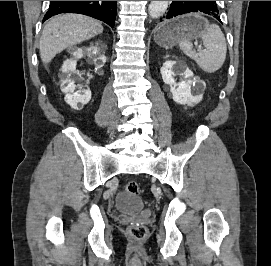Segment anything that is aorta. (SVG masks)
Masks as SVG:
<instances>
[{"label":"aorta","mask_w":271,"mask_h":266,"mask_svg":"<svg viewBox=\"0 0 271 266\" xmlns=\"http://www.w3.org/2000/svg\"><path fill=\"white\" fill-rule=\"evenodd\" d=\"M169 1H151L148 11L152 18L161 17L167 10Z\"/></svg>","instance_id":"1"}]
</instances>
